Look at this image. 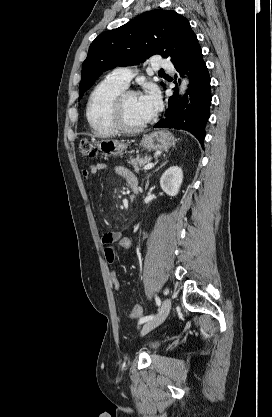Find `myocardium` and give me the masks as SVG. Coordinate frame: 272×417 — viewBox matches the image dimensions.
Returning <instances> with one entry per match:
<instances>
[{
  "label": "myocardium",
  "mask_w": 272,
  "mask_h": 417,
  "mask_svg": "<svg viewBox=\"0 0 272 417\" xmlns=\"http://www.w3.org/2000/svg\"><path fill=\"white\" fill-rule=\"evenodd\" d=\"M131 94L136 95L135 92L129 91V90H124L123 92H121L115 98V100L112 104V108H111L110 118H111L112 125L114 126V128L117 131L124 132V133L139 132V131L143 130L144 128H146L153 121V117H151L150 119H148L144 123L139 124V125H135V126L129 125L125 122L124 116H123L124 102H125L126 98Z\"/></svg>",
  "instance_id": "myocardium-1"
}]
</instances>
